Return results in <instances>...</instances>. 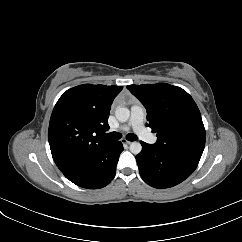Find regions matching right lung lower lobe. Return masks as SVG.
<instances>
[{
  "mask_svg": "<svg viewBox=\"0 0 242 242\" xmlns=\"http://www.w3.org/2000/svg\"><path fill=\"white\" fill-rule=\"evenodd\" d=\"M124 150L120 141H113L88 154L70 169L62 172L74 184L88 189H98L111 182L116 165Z\"/></svg>",
  "mask_w": 242,
  "mask_h": 242,
  "instance_id": "98d812e1",
  "label": "right lung lower lobe"
}]
</instances>
